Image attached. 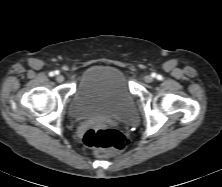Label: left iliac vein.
Here are the masks:
<instances>
[{
    "mask_svg": "<svg viewBox=\"0 0 222 187\" xmlns=\"http://www.w3.org/2000/svg\"><path fill=\"white\" fill-rule=\"evenodd\" d=\"M144 81H145L146 83H151V82L153 81V77H152L151 75H146V76L144 77Z\"/></svg>",
    "mask_w": 222,
    "mask_h": 187,
    "instance_id": "4c4485c4",
    "label": "left iliac vein"
}]
</instances>
